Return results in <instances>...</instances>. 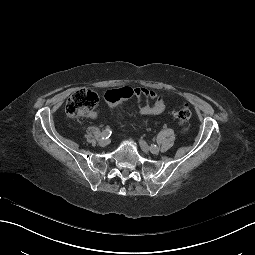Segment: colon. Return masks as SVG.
<instances>
[{"label":"colon","instance_id":"colon-1","mask_svg":"<svg viewBox=\"0 0 255 255\" xmlns=\"http://www.w3.org/2000/svg\"><path fill=\"white\" fill-rule=\"evenodd\" d=\"M135 94V89L123 87L120 89L109 90L105 94V99L109 104L114 105L121 100L130 98ZM98 96L89 89H79L75 91L67 100L65 111L69 117L85 116L92 112L97 106ZM173 117L179 125L185 130L188 128L191 118V110L186 104L178 105L173 111Z\"/></svg>","mask_w":255,"mask_h":255}]
</instances>
